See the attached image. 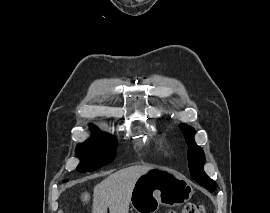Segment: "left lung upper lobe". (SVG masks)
<instances>
[{"instance_id": "1", "label": "left lung upper lobe", "mask_w": 270, "mask_h": 213, "mask_svg": "<svg viewBox=\"0 0 270 213\" xmlns=\"http://www.w3.org/2000/svg\"><path fill=\"white\" fill-rule=\"evenodd\" d=\"M180 127L184 131L186 142L190 148L188 152V160L191 177L211 192L215 191V181L210 179L203 170L205 155L202 148H200L194 141V129L186 125H181Z\"/></svg>"}]
</instances>
